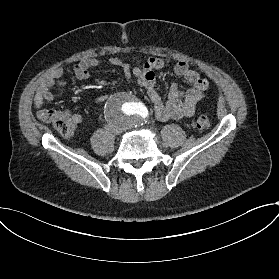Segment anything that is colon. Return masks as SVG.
<instances>
[{
	"instance_id": "colon-1",
	"label": "colon",
	"mask_w": 279,
	"mask_h": 279,
	"mask_svg": "<svg viewBox=\"0 0 279 279\" xmlns=\"http://www.w3.org/2000/svg\"><path fill=\"white\" fill-rule=\"evenodd\" d=\"M38 118L44 123L51 125L62 136L69 137L78 128L74 125L73 119L68 115L67 111L54 109H46L38 113ZM210 126V118L207 114H199L196 119V128L205 131Z\"/></svg>"
}]
</instances>
